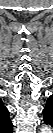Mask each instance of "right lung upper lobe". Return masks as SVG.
<instances>
[{"label": "right lung upper lobe", "mask_w": 53, "mask_h": 133, "mask_svg": "<svg viewBox=\"0 0 53 133\" xmlns=\"http://www.w3.org/2000/svg\"><path fill=\"white\" fill-rule=\"evenodd\" d=\"M0 129L12 133V122L9 119V112L0 100Z\"/></svg>", "instance_id": "cb5924a9"}]
</instances>
